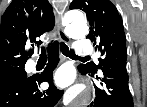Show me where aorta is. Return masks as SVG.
Segmentation results:
<instances>
[{
	"label": "aorta",
	"mask_w": 147,
	"mask_h": 107,
	"mask_svg": "<svg viewBox=\"0 0 147 107\" xmlns=\"http://www.w3.org/2000/svg\"><path fill=\"white\" fill-rule=\"evenodd\" d=\"M65 31L70 38L73 39H83L88 33L89 29L86 23L81 18L74 17L72 20L68 19L66 24ZM75 90H78L75 94ZM72 92L75 94L73 101L74 106L84 107L88 105L91 100V93L83 85H78L72 89Z\"/></svg>",
	"instance_id": "762f6f07"
}]
</instances>
